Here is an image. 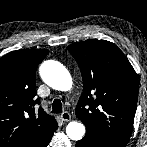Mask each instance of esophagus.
<instances>
[{"label": "esophagus", "mask_w": 147, "mask_h": 147, "mask_svg": "<svg viewBox=\"0 0 147 147\" xmlns=\"http://www.w3.org/2000/svg\"><path fill=\"white\" fill-rule=\"evenodd\" d=\"M62 121H65V122H68L71 120V114L69 112H63L61 115H60Z\"/></svg>", "instance_id": "obj_1"}]
</instances>
